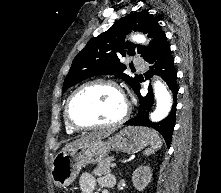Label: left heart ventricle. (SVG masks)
I'll return each instance as SVG.
<instances>
[{"instance_id": "obj_1", "label": "left heart ventricle", "mask_w": 221, "mask_h": 193, "mask_svg": "<svg viewBox=\"0 0 221 193\" xmlns=\"http://www.w3.org/2000/svg\"><path fill=\"white\" fill-rule=\"evenodd\" d=\"M125 102L115 89L93 85L80 91L71 105L73 119L81 125L108 123L124 112Z\"/></svg>"}]
</instances>
